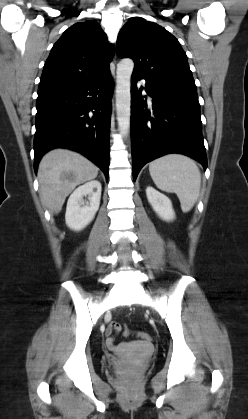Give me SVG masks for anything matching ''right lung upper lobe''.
I'll use <instances>...</instances> for the list:
<instances>
[{
    "mask_svg": "<svg viewBox=\"0 0 248 419\" xmlns=\"http://www.w3.org/2000/svg\"><path fill=\"white\" fill-rule=\"evenodd\" d=\"M113 53L97 22L76 23L54 44L44 65L39 90L94 79L109 69Z\"/></svg>",
    "mask_w": 248,
    "mask_h": 419,
    "instance_id": "right-lung-upper-lobe-1",
    "label": "right lung upper lobe"
}]
</instances>
